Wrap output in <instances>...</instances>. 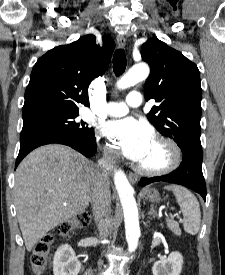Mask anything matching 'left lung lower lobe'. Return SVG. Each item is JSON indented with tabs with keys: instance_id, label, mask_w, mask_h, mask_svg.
I'll use <instances>...</instances> for the list:
<instances>
[{
	"instance_id": "left-lung-lower-lobe-1",
	"label": "left lung lower lobe",
	"mask_w": 225,
	"mask_h": 275,
	"mask_svg": "<svg viewBox=\"0 0 225 275\" xmlns=\"http://www.w3.org/2000/svg\"><path fill=\"white\" fill-rule=\"evenodd\" d=\"M182 153L181 165L174 172L161 177L141 178L139 186L157 181L176 183L196 191L206 200V185L202 173V147L188 146L182 149Z\"/></svg>"
}]
</instances>
